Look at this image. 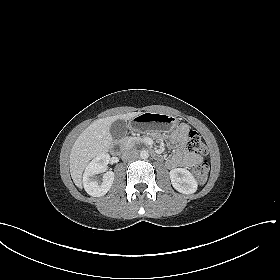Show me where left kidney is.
Wrapping results in <instances>:
<instances>
[{
  "label": "left kidney",
  "instance_id": "left-kidney-1",
  "mask_svg": "<svg viewBox=\"0 0 280 280\" xmlns=\"http://www.w3.org/2000/svg\"><path fill=\"white\" fill-rule=\"evenodd\" d=\"M172 186L180 193L192 194L196 192L198 184L194 176L185 168H175L170 171Z\"/></svg>",
  "mask_w": 280,
  "mask_h": 280
}]
</instances>
